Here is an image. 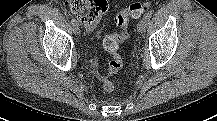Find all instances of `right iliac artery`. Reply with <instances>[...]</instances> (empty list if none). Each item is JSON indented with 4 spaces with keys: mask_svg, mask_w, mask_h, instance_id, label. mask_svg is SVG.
Masks as SVG:
<instances>
[{
    "mask_svg": "<svg viewBox=\"0 0 217 121\" xmlns=\"http://www.w3.org/2000/svg\"><path fill=\"white\" fill-rule=\"evenodd\" d=\"M71 23H72V25H73V24H76V23H77L76 19L72 18V19H71Z\"/></svg>",
    "mask_w": 217,
    "mask_h": 121,
    "instance_id": "obj_1",
    "label": "right iliac artery"
}]
</instances>
